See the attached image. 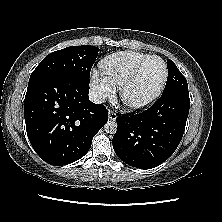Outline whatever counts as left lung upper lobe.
<instances>
[{
    "label": "left lung upper lobe",
    "mask_w": 222,
    "mask_h": 222,
    "mask_svg": "<svg viewBox=\"0 0 222 222\" xmlns=\"http://www.w3.org/2000/svg\"><path fill=\"white\" fill-rule=\"evenodd\" d=\"M167 67H168V78L163 93H167L173 90L188 91L186 78L181 74L179 69L170 59L167 60Z\"/></svg>",
    "instance_id": "left-lung-upper-lobe-1"
}]
</instances>
